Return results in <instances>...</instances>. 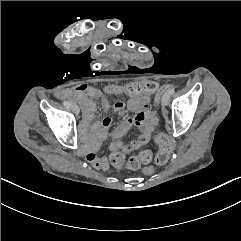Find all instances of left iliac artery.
Here are the masks:
<instances>
[{"label":"left iliac artery","instance_id":"left-iliac-artery-1","mask_svg":"<svg viewBox=\"0 0 241 241\" xmlns=\"http://www.w3.org/2000/svg\"><path fill=\"white\" fill-rule=\"evenodd\" d=\"M174 92H175L174 88H171V89L168 90L169 95H172Z\"/></svg>","mask_w":241,"mask_h":241}]
</instances>
